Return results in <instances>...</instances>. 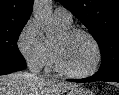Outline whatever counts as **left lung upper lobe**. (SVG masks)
<instances>
[{"mask_svg":"<svg viewBox=\"0 0 119 95\" xmlns=\"http://www.w3.org/2000/svg\"><path fill=\"white\" fill-rule=\"evenodd\" d=\"M97 41L102 61L97 74H119V0H58Z\"/></svg>","mask_w":119,"mask_h":95,"instance_id":"obj_1","label":"left lung upper lobe"}]
</instances>
